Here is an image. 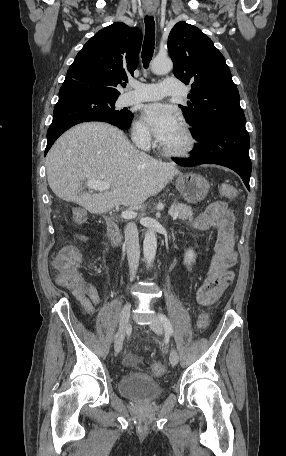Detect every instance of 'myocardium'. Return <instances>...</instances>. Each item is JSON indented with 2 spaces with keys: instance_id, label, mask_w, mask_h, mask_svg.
Returning <instances> with one entry per match:
<instances>
[{
  "instance_id": "myocardium-1",
  "label": "myocardium",
  "mask_w": 286,
  "mask_h": 456,
  "mask_svg": "<svg viewBox=\"0 0 286 456\" xmlns=\"http://www.w3.org/2000/svg\"><path fill=\"white\" fill-rule=\"evenodd\" d=\"M180 129L186 139L185 145L180 149H169L161 144L160 150L165 155L170 157H184L188 156L195 150L198 141L193 130L187 124H181Z\"/></svg>"
}]
</instances>
